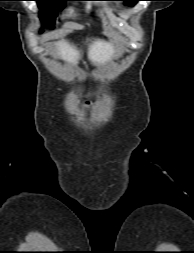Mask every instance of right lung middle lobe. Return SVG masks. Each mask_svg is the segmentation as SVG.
I'll return each mask as SVG.
<instances>
[{
	"instance_id": "obj_1",
	"label": "right lung middle lobe",
	"mask_w": 194,
	"mask_h": 253,
	"mask_svg": "<svg viewBox=\"0 0 194 253\" xmlns=\"http://www.w3.org/2000/svg\"><path fill=\"white\" fill-rule=\"evenodd\" d=\"M38 3V7L41 10L42 15L40 19L49 25V21H54L58 12L61 11L66 4V1L70 0H33Z\"/></svg>"
}]
</instances>
